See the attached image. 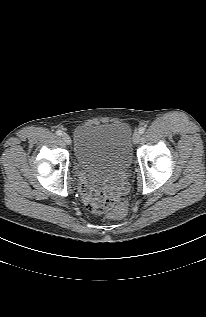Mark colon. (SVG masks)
<instances>
[{"label":"colon","instance_id":"5ec220e1","mask_svg":"<svg viewBox=\"0 0 206 317\" xmlns=\"http://www.w3.org/2000/svg\"><path fill=\"white\" fill-rule=\"evenodd\" d=\"M85 194L88 208L96 215L108 214L121 219L127 214L128 204L124 198H112L97 187L87 188Z\"/></svg>","mask_w":206,"mask_h":317}]
</instances>
